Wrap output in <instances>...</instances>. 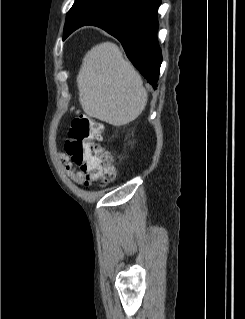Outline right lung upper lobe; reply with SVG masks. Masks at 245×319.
I'll return each mask as SVG.
<instances>
[{"label":"right lung upper lobe","instance_id":"right-lung-upper-lobe-1","mask_svg":"<svg viewBox=\"0 0 245 319\" xmlns=\"http://www.w3.org/2000/svg\"><path fill=\"white\" fill-rule=\"evenodd\" d=\"M83 0H75L74 5L70 9V11L67 14L66 20H69L70 18H75V22L73 24H65L66 27H64V37H67L70 33H72L77 28L88 24L89 22L93 21V18H91L85 11H83L80 7V2Z\"/></svg>","mask_w":245,"mask_h":319}]
</instances>
